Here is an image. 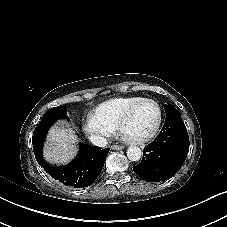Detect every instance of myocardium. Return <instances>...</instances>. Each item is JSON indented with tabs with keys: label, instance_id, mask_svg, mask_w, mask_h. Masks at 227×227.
<instances>
[{
	"label": "myocardium",
	"instance_id": "obj_1",
	"mask_svg": "<svg viewBox=\"0 0 227 227\" xmlns=\"http://www.w3.org/2000/svg\"><path fill=\"white\" fill-rule=\"evenodd\" d=\"M143 104H152L157 109V121H156V124H155L153 130L146 136L137 137V136H133V135H126L124 133V127H125L126 123L130 119L132 114ZM161 119H162V113H161V109H160V106L158 105V103L153 100L144 99V100H141L138 103L134 104L131 108H129L126 111V113L122 116V118L118 124L117 131H118V134L121 137H123L124 139H126L127 141L134 142V143H142V142L148 141L149 139H151L152 137L155 136V134L157 133V131L160 127Z\"/></svg>",
	"mask_w": 227,
	"mask_h": 227
}]
</instances>
